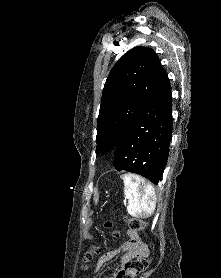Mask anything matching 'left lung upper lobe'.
I'll return each mask as SVG.
<instances>
[{
	"instance_id": "5c2ea615",
	"label": "left lung upper lobe",
	"mask_w": 221,
	"mask_h": 278,
	"mask_svg": "<svg viewBox=\"0 0 221 278\" xmlns=\"http://www.w3.org/2000/svg\"><path fill=\"white\" fill-rule=\"evenodd\" d=\"M164 73L158 57L148 47H134L117 61L103 89L97 153L116 149L154 94Z\"/></svg>"
}]
</instances>
